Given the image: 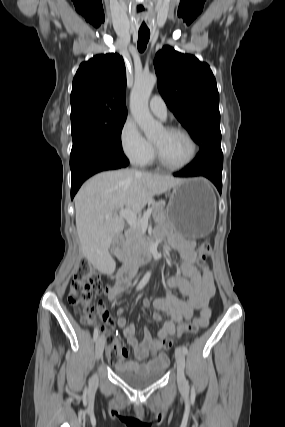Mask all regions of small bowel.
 <instances>
[{
    "label": "small bowel",
    "instance_id": "1",
    "mask_svg": "<svg viewBox=\"0 0 285 427\" xmlns=\"http://www.w3.org/2000/svg\"><path fill=\"white\" fill-rule=\"evenodd\" d=\"M169 242L171 247L179 253L181 274L168 279L165 297L156 299L153 302L150 300L142 301L144 308L151 306L154 308L153 319L155 321L161 319L160 313L168 316V320L163 323L156 335L148 328H145L144 339L139 340L135 336L134 326L128 324L122 316L124 308L120 307L117 309L119 317L115 321L107 312L103 302L97 305L103 322L109 324L111 327L117 325L122 328L123 336L126 338L137 359V361H124L128 353L125 349L120 348L118 361L108 359L123 369L146 372L150 368L167 367L169 364L168 358L160 351L163 341L175 335V324L187 323L191 319L194 310H200L201 327H206L209 323L211 316L209 303L215 294L213 274L207 265H197V255L193 241L186 240L176 234H171ZM129 284L130 281L124 282L116 278L114 285L108 291V298L115 300L129 287ZM173 288L178 289L180 297L172 293L171 290ZM108 351L107 349L106 352Z\"/></svg>",
    "mask_w": 285,
    "mask_h": 427
}]
</instances>
